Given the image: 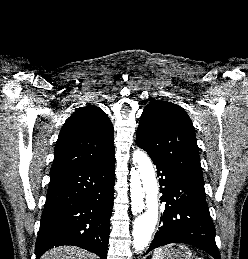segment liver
<instances>
[{
	"instance_id": "6515ba94",
	"label": "liver",
	"mask_w": 248,
	"mask_h": 259,
	"mask_svg": "<svg viewBox=\"0 0 248 259\" xmlns=\"http://www.w3.org/2000/svg\"><path fill=\"white\" fill-rule=\"evenodd\" d=\"M41 259H97V257L74 246H60L47 251Z\"/></svg>"
}]
</instances>
